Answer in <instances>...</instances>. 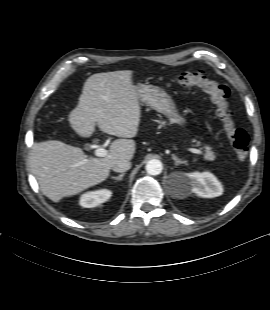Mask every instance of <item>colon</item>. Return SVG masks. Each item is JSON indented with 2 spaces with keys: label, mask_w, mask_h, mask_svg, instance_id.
<instances>
[{
  "label": "colon",
  "mask_w": 270,
  "mask_h": 310,
  "mask_svg": "<svg viewBox=\"0 0 270 310\" xmlns=\"http://www.w3.org/2000/svg\"><path fill=\"white\" fill-rule=\"evenodd\" d=\"M177 82L183 87L199 88L210 97L235 154L241 161L246 160L249 152V137L243 129L237 127L233 119L228 103V88L201 72L182 73L178 76Z\"/></svg>",
  "instance_id": "5ec220e1"
}]
</instances>
